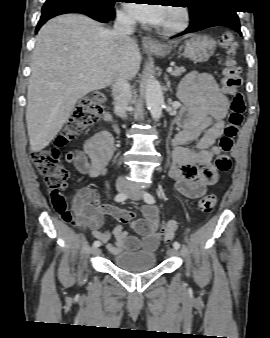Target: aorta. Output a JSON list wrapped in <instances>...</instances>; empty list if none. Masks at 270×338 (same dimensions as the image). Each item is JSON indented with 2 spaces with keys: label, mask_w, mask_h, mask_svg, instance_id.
<instances>
[{
  "label": "aorta",
  "mask_w": 270,
  "mask_h": 338,
  "mask_svg": "<svg viewBox=\"0 0 270 338\" xmlns=\"http://www.w3.org/2000/svg\"><path fill=\"white\" fill-rule=\"evenodd\" d=\"M145 99L152 118L158 121L162 116L164 97L159 82L152 77L145 83Z\"/></svg>",
  "instance_id": "762f6f07"
}]
</instances>
